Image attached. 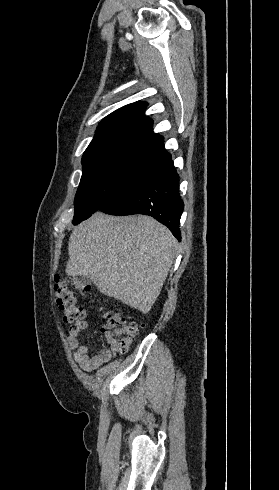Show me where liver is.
Returning a JSON list of instances; mask_svg holds the SVG:
<instances>
[{"label":"liver","mask_w":279,"mask_h":490,"mask_svg":"<svg viewBox=\"0 0 279 490\" xmlns=\"http://www.w3.org/2000/svg\"><path fill=\"white\" fill-rule=\"evenodd\" d=\"M177 240L150 216L93 214L72 232L67 276H88L98 290L142 314L155 304Z\"/></svg>","instance_id":"obj_1"}]
</instances>
